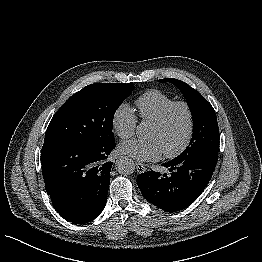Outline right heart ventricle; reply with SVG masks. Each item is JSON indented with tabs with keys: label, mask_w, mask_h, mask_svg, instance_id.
<instances>
[{
	"label": "right heart ventricle",
	"mask_w": 262,
	"mask_h": 262,
	"mask_svg": "<svg viewBox=\"0 0 262 262\" xmlns=\"http://www.w3.org/2000/svg\"><path fill=\"white\" fill-rule=\"evenodd\" d=\"M175 100L157 89H151L135 100L136 112L143 121H154Z\"/></svg>",
	"instance_id": "right-heart-ventricle-1"
}]
</instances>
